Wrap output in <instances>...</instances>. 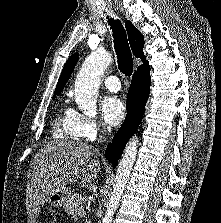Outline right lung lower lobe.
<instances>
[{
	"mask_svg": "<svg viewBox=\"0 0 221 223\" xmlns=\"http://www.w3.org/2000/svg\"><path fill=\"white\" fill-rule=\"evenodd\" d=\"M150 85V69L134 73L127 97V116L105 152L106 158L114 166L117 165V160L127 141L136 132L142 120L146 101L149 97Z\"/></svg>",
	"mask_w": 221,
	"mask_h": 223,
	"instance_id": "1",
	"label": "right lung lower lobe"
}]
</instances>
